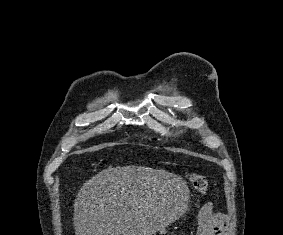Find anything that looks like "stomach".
Here are the masks:
<instances>
[{
  "instance_id": "stomach-1",
  "label": "stomach",
  "mask_w": 283,
  "mask_h": 235,
  "mask_svg": "<svg viewBox=\"0 0 283 235\" xmlns=\"http://www.w3.org/2000/svg\"><path fill=\"white\" fill-rule=\"evenodd\" d=\"M187 209H188L187 196L181 195L178 201V212L179 213L185 212ZM158 231L161 235H165L166 234L165 226L160 227Z\"/></svg>"
}]
</instances>
